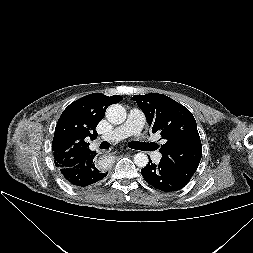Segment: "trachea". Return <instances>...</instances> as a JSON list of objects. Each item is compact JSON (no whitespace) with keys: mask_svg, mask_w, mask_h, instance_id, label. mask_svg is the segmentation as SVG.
Returning a JSON list of instances; mask_svg holds the SVG:
<instances>
[{"mask_svg":"<svg viewBox=\"0 0 253 253\" xmlns=\"http://www.w3.org/2000/svg\"><path fill=\"white\" fill-rule=\"evenodd\" d=\"M139 146H142V143H140V142H130L129 143V147L132 149L140 148ZM100 149H109V143L102 142L100 145Z\"/></svg>","mask_w":253,"mask_h":253,"instance_id":"3493384b","label":"trachea"}]
</instances>
